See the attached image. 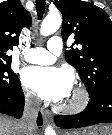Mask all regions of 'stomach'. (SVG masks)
I'll return each instance as SVG.
<instances>
[{"mask_svg": "<svg viewBox=\"0 0 112 135\" xmlns=\"http://www.w3.org/2000/svg\"><path fill=\"white\" fill-rule=\"evenodd\" d=\"M63 135H112V126L98 125L83 131L65 132Z\"/></svg>", "mask_w": 112, "mask_h": 135, "instance_id": "stomach-1", "label": "stomach"}]
</instances>
